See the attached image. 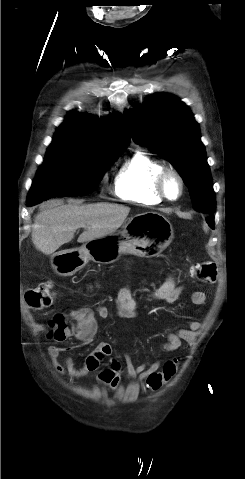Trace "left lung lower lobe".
<instances>
[{"label": "left lung lower lobe", "instance_id": "obj_1", "mask_svg": "<svg viewBox=\"0 0 245 479\" xmlns=\"http://www.w3.org/2000/svg\"><path fill=\"white\" fill-rule=\"evenodd\" d=\"M207 223L209 224V226L211 228H214V217H213V215H209V217L207 219Z\"/></svg>", "mask_w": 245, "mask_h": 479}]
</instances>
